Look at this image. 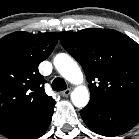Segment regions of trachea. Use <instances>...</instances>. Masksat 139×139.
<instances>
[{
    "label": "trachea",
    "instance_id": "3493384b",
    "mask_svg": "<svg viewBox=\"0 0 139 139\" xmlns=\"http://www.w3.org/2000/svg\"><path fill=\"white\" fill-rule=\"evenodd\" d=\"M66 88H67L66 82L62 78L57 77L53 80L52 89L54 91H63Z\"/></svg>",
    "mask_w": 139,
    "mask_h": 139
}]
</instances>
